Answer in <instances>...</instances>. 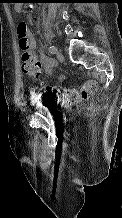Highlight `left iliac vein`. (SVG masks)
<instances>
[{
  "label": "left iliac vein",
  "instance_id": "1",
  "mask_svg": "<svg viewBox=\"0 0 122 218\" xmlns=\"http://www.w3.org/2000/svg\"><path fill=\"white\" fill-rule=\"evenodd\" d=\"M56 56H57V58H58V60L59 61H64V56H63V54L60 52V51H57L56 52ZM39 99V96L37 95L35 98H34V100L35 101H37Z\"/></svg>",
  "mask_w": 122,
  "mask_h": 218
}]
</instances>
